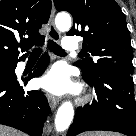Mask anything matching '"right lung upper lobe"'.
<instances>
[{"label":"right lung upper lobe","mask_w":136,"mask_h":136,"mask_svg":"<svg viewBox=\"0 0 136 136\" xmlns=\"http://www.w3.org/2000/svg\"><path fill=\"white\" fill-rule=\"evenodd\" d=\"M51 0H0V64L17 63L18 47L42 43L39 34L42 24L48 22Z\"/></svg>","instance_id":"1"}]
</instances>
